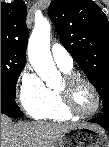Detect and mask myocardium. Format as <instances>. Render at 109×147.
Returning a JSON list of instances; mask_svg holds the SVG:
<instances>
[{
  "instance_id": "1",
  "label": "myocardium",
  "mask_w": 109,
  "mask_h": 147,
  "mask_svg": "<svg viewBox=\"0 0 109 147\" xmlns=\"http://www.w3.org/2000/svg\"><path fill=\"white\" fill-rule=\"evenodd\" d=\"M81 83L87 85L92 90V92L95 96V100H96L95 106H94L93 110L89 113L80 112L75 105L74 90ZM57 92L59 93V95L61 97V100H62L64 107L67 109V111L69 113H71L75 117H79V118L92 117L93 115H95L98 112V110L100 108L101 98H100L99 91L93 85L92 82H90L88 79H86L82 76L75 75V74L67 76L64 80V87L61 89H58Z\"/></svg>"
}]
</instances>
